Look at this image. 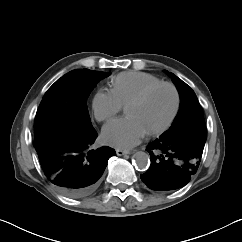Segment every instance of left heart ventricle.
Masks as SVG:
<instances>
[{"mask_svg": "<svg viewBox=\"0 0 242 242\" xmlns=\"http://www.w3.org/2000/svg\"><path fill=\"white\" fill-rule=\"evenodd\" d=\"M174 106L173 90L168 86H160L152 91L144 101L129 106L126 111L146 132H149L167 122Z\"/></svg>", "mask_w": 242, "mask_h": 242, "instance_id": "obj_1", "label": "left heart ventricle"}]
</instances>
